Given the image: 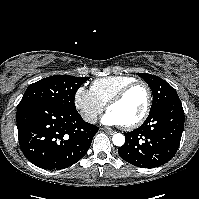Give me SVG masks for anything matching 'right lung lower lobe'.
Instances as JSON below:
<instances>
[{"mask_svg":"<svg viewBox=\"0 0 199 199\" xmlns=\"http://www.w3.org/2000/svg\"><path fill=\"white\" fill-rule=\"evenodd\" d=\"M17 128L25 157L48 170L64 169L80 160L98 132L77 110L40 101L18 104Z\"/></svg>","mask_w":199,"mask_h":199,"instance_id":"right-lung-lower-lobe-1","label":"right lung lower lobe"}]
</instances>
